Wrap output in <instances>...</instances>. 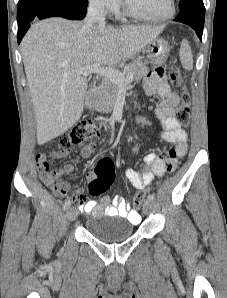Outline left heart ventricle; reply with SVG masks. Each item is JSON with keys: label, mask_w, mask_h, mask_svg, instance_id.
Wrapping results in <instances>:
<instances>
[{"label": "left heart ventricle", "mask_w": 227, "mask_h": 298, "mask_svg": "<svg viewBox=\"0 0 227 298\" xmlns=\"http://www.w3.org/2000/svg\"><path fill=\"white\" fill-rule=\"evenodd\" d=\"M125 2L135 13L148 17L162 16L169 8V0H125Z\"/></svg>", "instance_id": "b2bd125f"}]
</instances>
